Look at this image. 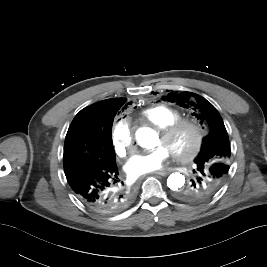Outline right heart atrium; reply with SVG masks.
<instances>
[{"label":"right heart atrium","instance_id":"obj_1","mask_svg":"<svg viewBox=\"0 0 267 267\" xmlns=\"http://www.w3.org/2000/svg\"><path fill=\"white\" fill-rule=\"evenodd\" d=\"M112 144L117 156L124 157L133 144V131L127 119L117 118L112 130Z\"/></svg>","mask_w":267,"mask_h":267}]
</instances>
